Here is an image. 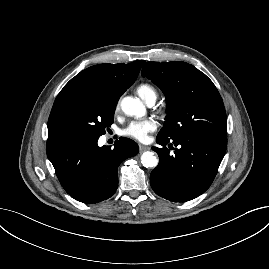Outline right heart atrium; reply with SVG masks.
Here are the masks:
<instances>
[{
    "mask_svg": "<svg viewBox=\"0 0 269 269\" xmlns=\"http://www.w3.org/2000/svg\"><path fill=\"white\" fill-rule=\"evenodd\" d=\"M118 110H119V101L115 105V112H117Z\"/></svg>",
    "mask_w": 269,
    "mask_h": 269,
    "instance_id": "right-heart-atrium-1",
    "label": "right heart atrium"
}]
</instances>
